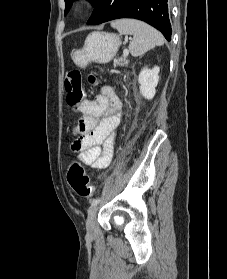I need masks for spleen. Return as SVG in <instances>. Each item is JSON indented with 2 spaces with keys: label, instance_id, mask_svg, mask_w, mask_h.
Returning a JSON list of instances; mask_svg holds the SVG:
<instances>
[{
  "label": "spleen",
  "instance_id": "1",
  "mask_svg": "<svg viewBox=\"0 0 227 279\" xmlns=\"http://www.w3.org/2000/svg\"><path fill=\"white\" fill-rule=\"evenodd\" d=\"M111 26L121 34L133 36L129 44V51L134 57L141 56L155 46L164 44L163 35L144 22L120 19L112 22Z\"/></svg>",
  "mask_w": 227,
  "mask_h": 279
}]
</instances>
